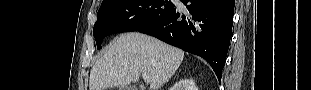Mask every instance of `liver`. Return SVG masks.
<instances>
[{"instance_id":"1","label":"liver","mask_w":311,"mask_h":90,"mask_svg":"<svg viewBox=\"0 0 311 90\" xmlns=\"http://www.w3.org/2000/svg\"><path fill=\"white\" fill-rule=\"evenodd\" d=\"M184 52L156 38L135 33L119 36L90 72L89 90H107L150 76V89L159 90L180 67ZM140 90H146L140 84Z\"/></svg>"}]
</instances>
